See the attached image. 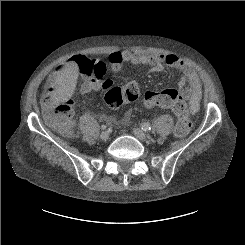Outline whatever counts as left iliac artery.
I'll use <instances>...</instances> for the list:
<instances>
[{"label":"left iliac artery","instance_id":"left-iliac-artery-1","mask_svg":"<svg viewBox=\"0 0 245 245\" xmlns=\"http://www.w3.org/2000/svg\"><path fill=\"white\" fill-rule=\"evenodd\" d=\"M141 129L144 131H149V130H151V126L148 123H142Z\"/></svg>","mask_w":245,"mask_h":245}]
</instances>
